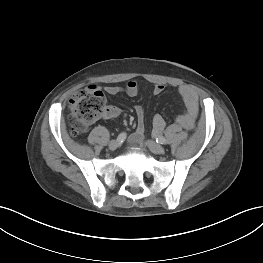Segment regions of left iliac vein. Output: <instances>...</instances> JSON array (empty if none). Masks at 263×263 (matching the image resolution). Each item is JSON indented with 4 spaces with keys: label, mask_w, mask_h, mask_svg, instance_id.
Segmentation results:
<instances>
[{
    "label": "left iliac vein",
    "mask_w": 263,
    "mask_h": 263,
    "mask_svg": "<svg viewBox=\"0 0 263 263\" xmlns=\"http://www.w3.org/2000/svg\"><path fill=\"white\" fill-rule=\"evenodd\" d=\"M147 146L150 149L151 152H153L154 154H163L164 153V148L160 145L157 144L154 141H147Z\"/></svg>",
    "instance_id": "1"
}]
</instances>
